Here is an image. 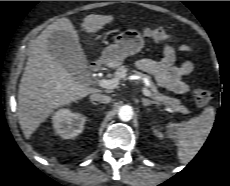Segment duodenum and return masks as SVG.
<instances>
[{"mask_svg":"<svg viewBox=\"0 0 230 186\" xmlns=\"http://www.w3.org/2000/svg\"><path fill=\"white\" fill-rule=\"evenodd\" d=\"M99 67H100L99 63H96V62L91 63L89 66L90 70L94 72L98 71Z\"/></svg>","mask_w":230,"mask_h":186,"instance_id":"obj_1","label":"duodenum"}]
</instances>
